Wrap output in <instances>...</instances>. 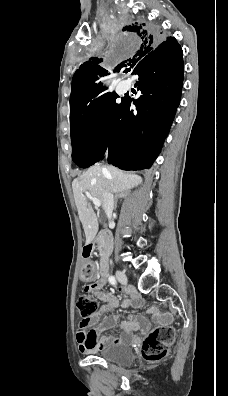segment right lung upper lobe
I'll list each match as a JSON object with an SVG mask.
<instances>
[{
    "mask_svg": "<svg viewBox=\"0 0 228 396\" xmlns=\"http://www.w3.org/2000/svg\"><path fill=\"white\" fill-rule=\"evenodd\" d=\"M130 31L137 32L140 37V46L137 52L131 59L124 60L121 62L113 72H119L126 65L132 63V74L136 71L139 62L145 57L150 56L156 47L157 35L150 34L147 30L141 26H132L129 28ZM177 43L175 38L168 37L166 41L161 43L159 46L163 47L166 44ZM102 62V59L91 57L85 61L78 70H76L72 79V89L70 95V118L75 117L82 111L87 109L95 100L101 97V92L106 88L102 87L101 82L95 83L98 80V75H108L107 70L102 69L98 63Z\"/></svg>",
    "mask_w": 228,
    "mask_h": 396,
    "instance_id": "1",
    "label": "right lung upper lobe"
}]
</instances>
